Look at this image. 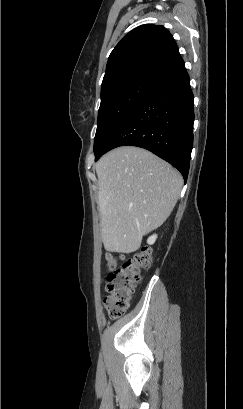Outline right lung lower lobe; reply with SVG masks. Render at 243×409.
<instances>
[{
    "label": "right lung lower lobe",
    "mask_w": 243,
    "mask_h": 409,
    "mask_svg": "<svg viewBox=\"0 0 243 409\" xmlns=\"http://www.w3.org/2000/svg\"><path fill=\"white\" fill-rule=\"evenodd\" d=\"M194 96L184 61L166 74L110 136L98 160L124 146L145 148L177 168L186 182L193 147Z\"/></svg>",
    "instance_id": "obj_1"
}]
</instances>
